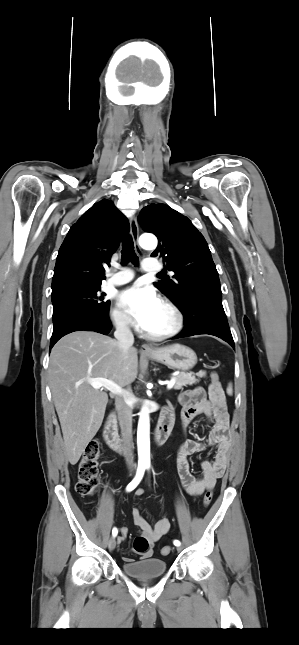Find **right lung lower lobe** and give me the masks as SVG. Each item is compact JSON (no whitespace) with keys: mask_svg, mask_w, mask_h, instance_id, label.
Returning a JSON list of instances; mask_svg holds the SVG:
<instances>
[{"mask_svg":"<svg viewBox=\"0 0 299 645\" xmlns=\"http://www.w3.org/2000/svg\"><path fill=\"white\" fill-rule=\"evenodd\" d=\"M110 329L111 323L108 315L105 317L94 315L82 316L67 322L56 330H53L50 348H52L61 337L71 332L88 330L106 335L109 333Z\"/></svg>","mask_w":299,"mask_h":645,"instance_id":"right-lung-lower-lobe-1","label":"right lung lower lobe"}]
</instances>
